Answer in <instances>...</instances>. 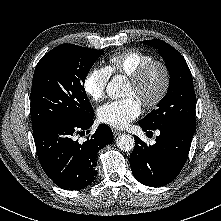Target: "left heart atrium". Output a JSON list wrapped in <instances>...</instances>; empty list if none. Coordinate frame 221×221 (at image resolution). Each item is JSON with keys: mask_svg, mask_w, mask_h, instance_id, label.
I'll return each instance as SVG.
<instances>
[{"mask_svg": "<svg viewBox=\"0 0 221 221\" xmlns=\"http://www.w3.org/2000/svg\"><path fill=\"white\" fill-rule=\"evenodd\" d=\"M140 101L134 96L110 101L97 111L99 120L114 128H124L141 114Z\"/></svg>", "mask_w": 221, "mask_h": 221, "instance_id": "obj_1", "label": "left heart atrium"}]
</instances>
